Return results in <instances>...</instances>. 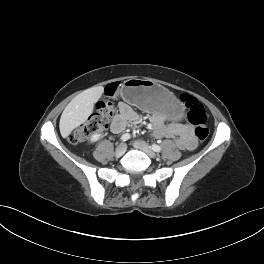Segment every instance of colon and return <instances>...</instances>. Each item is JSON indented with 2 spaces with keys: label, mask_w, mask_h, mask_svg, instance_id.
<instances>
[{
  "label": "colon",
  "mask_w": 264,
  "mask_h": 264,
  "mask_svg": "<svg viewBox=\"0 0 264 264\" xmlns=\"http://www.w3.org/2000/svg\"><path fill=\"white\" fill-rule=\"evenodd\" d=\"M117 89L118 84L116 83L107 86V98L100 100L96 105L94 114L71 133L69 137L71 143H81L89 136L106 127L115 112V106L111 97L114 96ZM182 101L188 109V120L194 126L196 138L200 141L205 140L209 135L207 126L208 117L205 107L198 99L189 94H184Z\"/></svg>",
  "instance_id": "colon-1"
}]
</instances>
